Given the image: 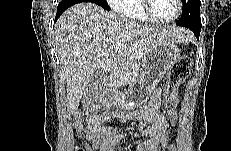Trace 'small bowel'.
I'll return each instance as SVG.
<instances>
[{
    "label": "small bowel",
    "mask_w": 231,
    "mask_h": 151,
    "mask_svg": "<svg viewBox=\"0 0 231 151\" xmlns=\"http://www.w3.org/2000/svg\"><path fill=\"white\" fill-rule=\"evenodd\" d=\"M131 117L145 123L140 128V134L144 139L136 146V151H161L166 147L168 123L161 110L160 89L154 92L140 111L132 113ZM111 120L112 116L107 113L87 118L86 137L92 143V147L85 145L86 151H114L113 149L121 143L123 136L115 130Z\"/></svg>",
    "instance_id": "obj_1"
}]
</instances>
